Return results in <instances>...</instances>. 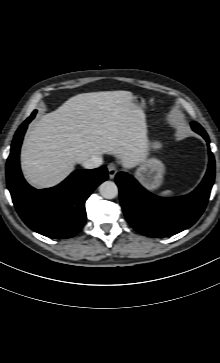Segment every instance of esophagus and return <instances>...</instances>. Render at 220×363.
I'll return each instance as SVG.
<instances>
[{
  "label": "esophagus",
  "mask_w": 220,
  "mask_h": 363,
  "mask_svg": "<svg viewBox=\"0 0 220 363\" xmlns=\"http://www.w3.org/2000/svg\"><path fill=\"white\" fill-rule=\"evenodd\" d=\"M108 175L110 179H113L115 177V175L117 174V167L115 164L110 163L108 165Z\"/></svg>",
  "instance_id": "34e87169"
}]
</instances>
